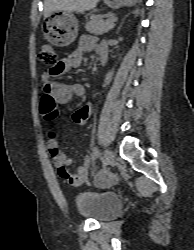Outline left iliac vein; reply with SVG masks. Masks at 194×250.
Masks as SVG:
<instances>
[{"mask_svg": "<svg viewBox=\"0 0 194 250\" xmlns=\"http://www.w3.org/2000/svg\"><path fill=\"white\" fill-rule=\"evenodd\" d=\"M114 161V154L110 149H106L104 152V166L111 165Z\"/></svg>", "mask_w": 194, "mask_h": 250, "instance_id": "left-iliac-vein-1", "label": "left iliac vein"}]
</instances>
